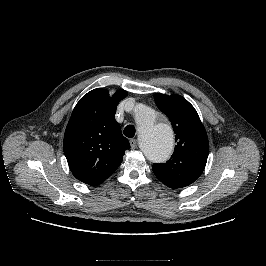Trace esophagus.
Listing matches in <instances>:
<instances>
[{
	"label": "esophagus",
	"instance_id": "obj_1",
	"mask_svg": "<svg viewBox=\"0 0 266 266\" xmlns=\"http://www.w3.org/2000/svg\"><path fill=\"white\" fill-rule=\"evenodd\" d=\"M129 143H130V146H131L132 149L136 148V146H137L136 139H130Z\"/></svg>",
	"mask_w": 266,
	"mask_h": 266
}]
</instances>
